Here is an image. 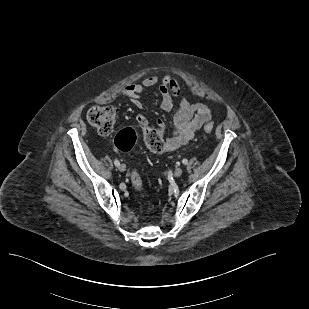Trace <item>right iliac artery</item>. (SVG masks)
Returning a JSON list of instances; mask_svg holds the SVG:
<instances>
[{"label": "right iliac artery", "mask_w": 309, "mask_h": 309, "mask_svg": "<svg viewBox=\"0 0 309 309\" xmlns=\"http://www.w3.org/2000/svg\"><path fill=\"white\" fill-rule=\"evenodd\" d=\"M114 164H115V166L118 167V166L120 165V162H119L118 160H115V161H114Z\"/></svg>", "instance_id": "obj_1"}]
</instances>
